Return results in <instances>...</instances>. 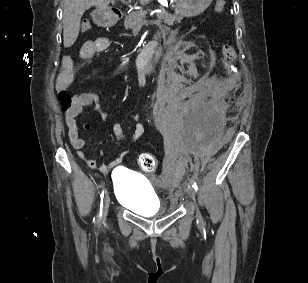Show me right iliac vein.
<instances>
[{
    "instance_id": "right-iliac-vein-1",
    "label": "right iliac vein",
    "mask_w": 308,
    "mask_h": 283,
    "mask_svg": "<svg viewBox=\"0 0 308 283\" xmlns=\"http://www.w3.org/2000/svg\"><path fill=\"white\" fill-rule=\"evenodd\" d=\"M110 205V197L109 194L106 193L105 197H104V206H103V217L105 218L107 213H108V208Z\"/></svg>"
}]
</instances>
